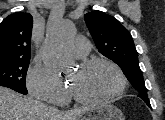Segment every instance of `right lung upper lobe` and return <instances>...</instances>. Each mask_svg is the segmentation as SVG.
Listing matches in <instances>:
<instances>
[{
    "instance_id": "right-lung-upper-lobe-1",
    "label": "right lung upper lobe",
    "mask_w": 165,
    "mask_h": 120,
    "mask_svg": "<svg viewBox=\"0 0 165 120\" xmlns=\"http://www.w3.org/2000/svg\"><path fill=\"white\" fill-rule=\"evenodd\" d=\"M33 18L14 13L0 24V58L30 59Z\"/></svg>"
}]
</instances>
